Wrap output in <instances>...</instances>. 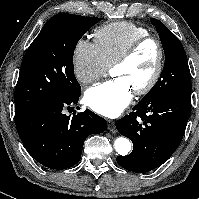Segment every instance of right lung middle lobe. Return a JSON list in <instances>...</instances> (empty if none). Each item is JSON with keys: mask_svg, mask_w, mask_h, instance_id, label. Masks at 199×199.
<instances>
[{"mask_svg": "<svg viewBox=\"0 0 199 199\" xmlns=\"http://www.w3.org/2000/svg\"><path fill=\"white\" fill-rule=\"evenodd\" d=\"M101 18L57 14L27 49L15 88V118L40 105L81 94L73 55L81 37Z\"/></svg>", "mask_w": 199, "mask_h": 199, "instance_id": "dd1d6c3e", "label": "right lung middle lobe"}]
</instances>
